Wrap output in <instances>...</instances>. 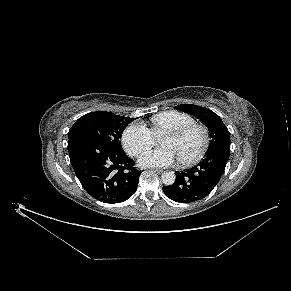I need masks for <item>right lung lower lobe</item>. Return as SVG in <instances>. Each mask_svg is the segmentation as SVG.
Segmentation results:
<instances>
[{
  "mask_svg": "<svg viewBox=\"0 0 291 291\" xmlns=\"http://www.w3.org/2000/svg\"><path fill=\"white\" fill-rule=\"evenodd\" d=\"M68 151L80 183L95 199L119 203L135 193L142 171L124 151L85 135L69 139Z\"/></svg>",
  "mask_w": 291,
  "mask_h": 291,
  "instance_id": "1",
  "label": "right lung lower lobe"
}]
</instances>
